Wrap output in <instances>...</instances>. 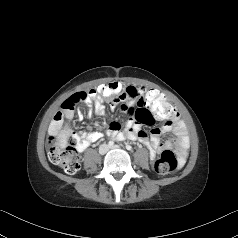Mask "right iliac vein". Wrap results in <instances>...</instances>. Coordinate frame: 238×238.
Masks as SVG:
<instances>
[{
	"label": "right iliac vein",
	"instance_id": "63e3f726",
	"mask_svg": "<svg viewBox=\"0 0 238 238\" xmlns=\"http://www.w3.org/2000/svg\"><path fill=\"white\" fill-rule=\"evenodd\" d=\"M107 151H108V146L107 145L103 144L99 147V153L101 155H104Z\"/></svg>",
	"mask_w": 238,
	"mask_h": 238
}]
</instances>
